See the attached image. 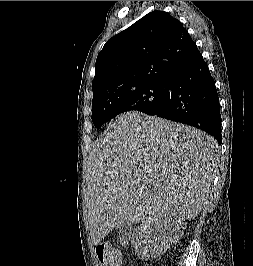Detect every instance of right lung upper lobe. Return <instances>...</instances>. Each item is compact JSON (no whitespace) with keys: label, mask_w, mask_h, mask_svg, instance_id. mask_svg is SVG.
Here are the masks:
<instances>
[{"label":"right lung upper lobe","mask_w":253,"mask_h":266,"mask_svg":"<svg viewBox=\"0 0 253 266\" xmlns=\"http://www.w3.org/2000/svg\"><path fill=\"white\" fill-rule=\"evenodd\" d=\"M200 54L183 25L153 11L109 39L97 56L92 105L171 73Z\"/></svg>","instance_id":"obj_1"}]
</instances>
